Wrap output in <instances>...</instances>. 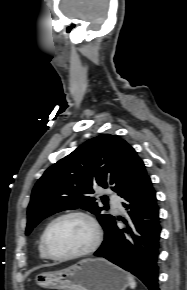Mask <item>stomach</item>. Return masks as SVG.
I'll use <instances>...</instances> for the list:
<instances>
[{"mask_svg": "<svg viewBox=\"0 0 187 290\" xmlns=\"http://www.w3.org/2000/svg\"><path fill=\"white\" fill-rule=\"evenodd\" d=\"M37 285L55 290H125L128 275L103 258H89L68 268L36 275Z\"/></svg>", "mask_w": 187, "mask_h": 290, "instance_id": "obj_1", "label": "stomach"}]
</instances>
